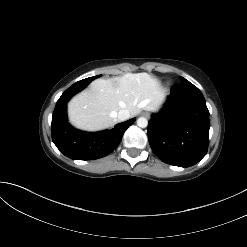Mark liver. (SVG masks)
<instances>
[{
    "instance_id": "obj_1",
    "label": "liver",
    "mask_w": 247,
    "mask_h": 247,
    "mask_svg": "<svg viewBox=\"0 0 247 247\" xmlns=\"http://www.w3.org/2000/svg\"><path fill=\"white\" fill-rule=\"evenodd\" d=\"M164 95L158 80L145 72L96 79L69 102V120L86 131L107 129L119 122L117 113L122 109L130 116L142 110L157 111Z\"/></svg>"
}]
</instances>
